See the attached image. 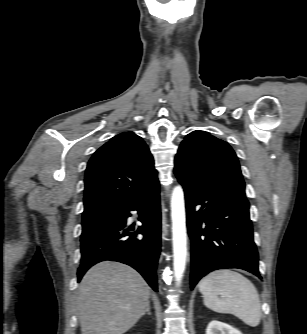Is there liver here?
<instances>
[{
  "instance_id": "liver-1",
  "label": "liver",
  "mask_w": 307,
  "mask_h": 334,
  "mask_svg": "<svg viewBox=\"0 0 307 334\" xmlns=\"http://www.w3.org/2000/svg\"><path fill=\"white\" fill-rule=\"evenodd\" d=\"M150 287L128 265L103 261L84 275L77 292L82 334H123L149 304Z\"/></svg>"
}]
</instances>
